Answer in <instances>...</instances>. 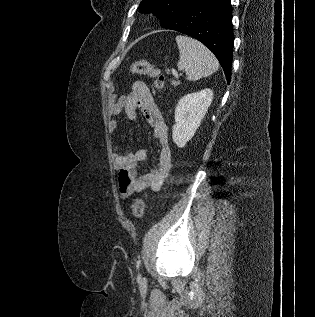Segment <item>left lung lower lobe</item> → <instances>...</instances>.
I'll return each mask as SVG.
<instances>
[{
  "mask_svg": "<svg viewBox=\"0 0 315 317\" xmlns=\"http://www.w3.org/2000/svg\"><path fill=\"white\" fill-rule=\"evenodd\" d=\"M208 47L220 62L230 83L234 44L230 0H197L172 27Z\"/></svg>",
  "mask_w": 315,
  "mask_h": 317,
  "instance_id": "1",
  "label": "left lung lower lobe"
}]
</instances>
